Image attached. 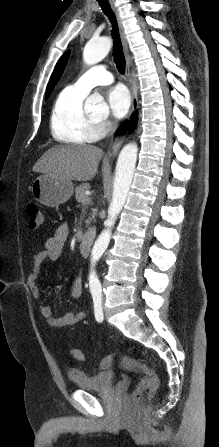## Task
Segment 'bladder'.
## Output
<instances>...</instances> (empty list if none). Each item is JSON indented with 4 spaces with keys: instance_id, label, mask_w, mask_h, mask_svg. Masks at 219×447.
<instances>
[{
    "instance_id": "1",
    "label": "bladder",
    "mask_w": 219,
    "mask_h": 447,
    "mask_svg": "<svg viewBox=\"0 0 219 447\" xmlns=\"http://www.w3.org/2000/svg\"><path fill=\"white\" fill-rule=\"evenodd\" d=\"M68 375L78 388L90 392L107 391L115 383V374L109 370L90 374L83 370L70 369Z\"/></svg>"
}]
</instances>
